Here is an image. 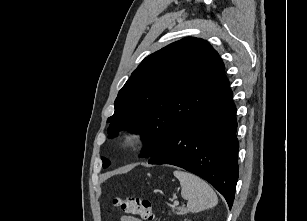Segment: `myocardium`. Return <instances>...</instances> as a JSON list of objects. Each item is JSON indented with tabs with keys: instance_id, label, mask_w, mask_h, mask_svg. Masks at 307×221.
Returning a JSON list of instances; mask_svg holds the SVG:
<instances>
[{
	"instance_id": "myocardium-1",
	"label": "myocardium",
	"mask_w": 307,
	"mask_h": 221,
	"mask_svg": "<svg viewBox=\"0 0 307 221\" xmlns=\"http://www.w3.org/2000/svg\"><path fill=\"white\" fill-rule=\"evenodd\" d=\"M143 139V132L137 128L130 129L123 138L124 146L129 150H134L140 146Z\"/></svg>"
}]
</instances>
